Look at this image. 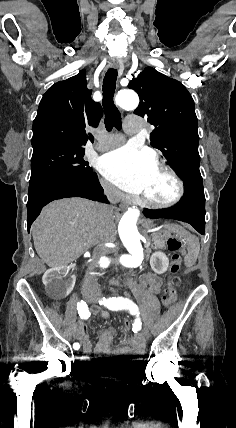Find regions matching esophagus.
Masks as SVG:
<instances>
[{
    "instance_id": "esophagus-1",
    "label": "esophagus",
    "mask_w": 236,
    "mask_h": 428,
    "mask_svg": "<svg viewBox=\"0 0 236 428\" xmlns=\"http://www.w3.org/2000/svg\"><path fill=\"white\" fill-rule=\"evenodd\" d=\"M110 66L113 68H118L119 67V62H110Z\"/></svg>"
}]
</instances>
